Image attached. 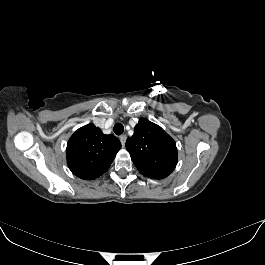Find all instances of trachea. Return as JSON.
<instances>
[{
    "instance_id": "1",
    "label": "trachea",
    "mask_w": 265,
    "mask_h": 265,
    "mask_svg": "<svg viewBox=\"0 0 265 265\" xmlns=\"http://www.w3.org/2000/svg\"><path fill=\"white\" fill-rule=\"evenodd\" d=\"M113 130H114L116 135H121L123 133V131H124V127H123V125L121 123H116L114 125V129Z\"/></svg>"
}]
</instances>
